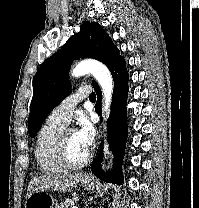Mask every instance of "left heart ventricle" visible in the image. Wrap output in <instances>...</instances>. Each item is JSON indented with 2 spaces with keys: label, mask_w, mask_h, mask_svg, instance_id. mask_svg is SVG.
<instances>
[{
  "label": "left heart ventricle",
  "mask_w": 199,
  "mask_h": 208,
  "mask_svg": "<svg viewBox=\"0 0 199 208\" xmlns=\"http://www.w3.org/2000/svg\"><path fill=\"white\" fill-rule=\"evenodd\" d=\"M89 152V149L85 148L77 138L74 131L68 134L67 141V153L71 161L78 162L84 159Z\"/></svg>",
  "instance_id": "obj_1"
}]
</instances>
